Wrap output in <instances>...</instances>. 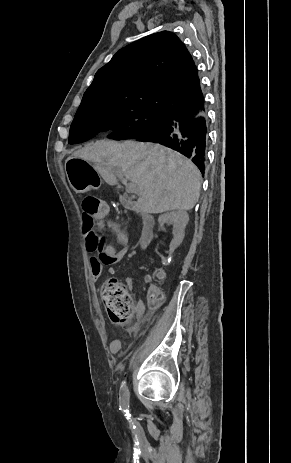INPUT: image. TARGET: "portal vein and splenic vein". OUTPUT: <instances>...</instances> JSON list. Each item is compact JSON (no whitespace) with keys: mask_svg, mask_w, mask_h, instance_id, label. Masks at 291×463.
Returning <instances> with one entry per match:
<instances>
[{"mask_svg":"<svg viewBox=\"0 0 291 463\" xmlns=\"http://www.w3.org/2000/svg\"><path fill=\"white\" fill-rule=\"evenodd\" d=\"M117 176L119 178L123 179V173L122 172L117 171ZM123 183L126 186V192L131 193V194H138L139 193V191H138V189L136 187V184L129 183V182H127L126 179H123Z\"/></svg>","mask_w":291,"mask_h":463,"instance_id":"obj_1","label":"portal vein and splenic vein"}]
</instances>
